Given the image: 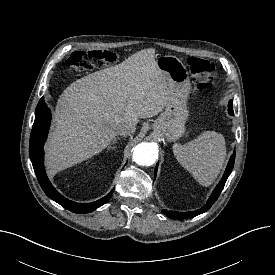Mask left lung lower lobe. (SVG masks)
Instances as JSON below:
<instances>
[{"instance_id": "left-lung-lower-lobe-1", "label": "left lung lower lobe", "mask_w": 275, "mask_h": 275, "mask_svg": "<svg viewBox=\"0 0 275 275\" xmlns=\"http://www.w3.org/2000/svg\"><path fill=\"white\" fill-rule=\"evenodd\" d=\"M234 161H235V152L232 154V156L228 162V165H227V168H226V171L224 173L222 180L220 181L219 185L214 189V191H213L212 195L210 196V198L208 199L207 203L201 209L192 211V212H173V211L168 212L166 210H162V213L172 219H186V218L195 217V216L202 214V213L206 212L207 210H209L211 208L212 204L218 199L222 189L224 188L227 178L232 172V169L234 166ZM157 169H158V164L155 167V178H156V174H157Z\"/></svg>"}]
</instances>
